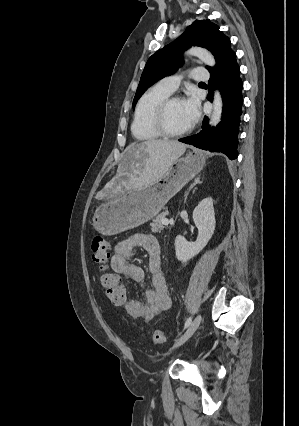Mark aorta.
<instances>
[{"mask_svg": "<svg viewBox=\"0 0 299 426\" xmlns=\"http://www.w3.org/2000/svg\"><path fill=\"white\" fill-rule=\"evenodd\" d=\"M190 56L198 57L204 64L208 66H215V59L213 55L206 49L201 47H192L187 51ZM223 111V101L219 90H215L213 98V111L210 118V125L217 126L221 121Z\"/></svg>", "mask_w": 299, "mask_h": 426, "instance_id": "1", "label": "aorta"}]
</instances>
